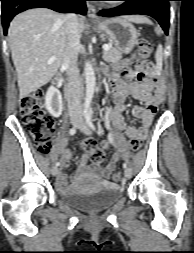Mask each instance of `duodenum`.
I'll use <instances>...</instances> for the list:
<instances>
[{
  "mask_svg": "<svg viewBox=\"0 0 194 253\" xmlns=\"http://www.w3.org/2000/svg\"><path fill=\"white\" fill-rule=\"evenodd\" d=\"M58 83H59V79H55L52 83L53 87H57L58 86Z\"/></svg>",
  "mask_w": 194,
  "mask_h": 253,
  "instance_id": "obj_1",
  "label": "duodenum"
}]
</instances>
